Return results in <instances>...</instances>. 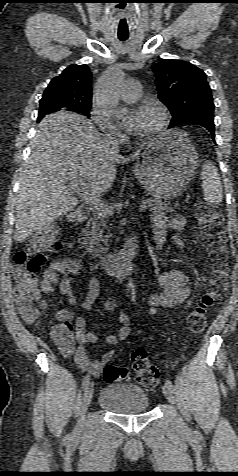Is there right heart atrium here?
I'll list each match as a JSON object with an SVG mask.
<instances>
[{
    "label": "right heart atrium",
    "instance_id": "right-heart-atrium-1",
    "mask_svg": "<svg viewBox=\"0 0 238 476\" xmlns=\"http://www.w3.org/2000/svg\"><path fill=\"white\" fill-rule=\"evenodd\" d=\"M91 119L107 137H120L119 129L111 123L107 115L96 107L91 110Z\"/></svg>",
    "mask_w": 238,
    "mask_h": 476
}]
</instances>
